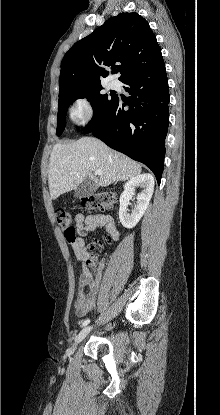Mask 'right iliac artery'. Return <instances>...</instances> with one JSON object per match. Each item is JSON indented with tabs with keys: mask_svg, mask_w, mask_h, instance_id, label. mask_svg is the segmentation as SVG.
<instances>
[{
	"mask_svg": "<svg viewBox=\"0 0 220 415\" xmlns=\"http://www.w3.org/2000/svg\"><path fill=\"white\" fill-rule=\"evenodd\" d=\"M89 323H90V319H87L82 323L81 326L84 327V326L88 325Z\"/></svg>",
	"mask_w": 220,
	"mask_h": 415,
	"instance_id": "right-iliac-artery-1",
	"label": "right iliac artery"
}]
</instances>
